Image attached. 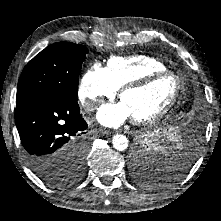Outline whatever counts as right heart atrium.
Listing matches in <instances>:
<instances>
[{
	"mask_svg": "<svg viewBox=\"0 0 221 221\" xmlns=\"http://www.w3.org/2000/svg\"><path fill=\"white\" fill-rule=\"evenodd\" d=\"M117 88L109 78L106 68L99 64L91 66L82 76L79 85V100L87 111H93L104 98L111 99Z\"/></svg>",
	"mask_w": 221,
	"mask_h": 221,
	"instance_id": "1",
	"label": "right heart atrium"
}]
</instances>
